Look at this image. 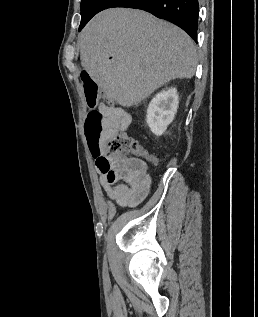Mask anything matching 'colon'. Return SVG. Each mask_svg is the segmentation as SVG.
<instances>
[{
    "mask_svg": "<svg viewBox=\"0 0 258 317\" xmlns=\"http://www.w3.org/2000/svg\"><path fill=\"white\" fill-rule=\"evenodd\" d=\"M86 103L90 108L84 122V132L88 147L92 152L106 150L108 156L113 158H127L129 156H143L148 161L156 163L158 158L147 153L142 146L131 136L124 132L109 135L107 115L99 109L100 99L97 83L88 75L82 74Z\"/></svg>",
    "mask_w": 258,
    "mask_h": 317,
    "instance_id": "obj_1",
    "label": "colon"
}]
</instances>
